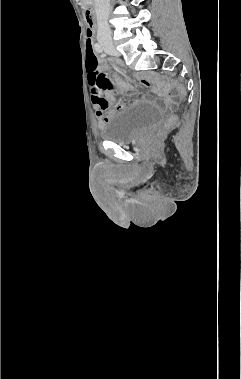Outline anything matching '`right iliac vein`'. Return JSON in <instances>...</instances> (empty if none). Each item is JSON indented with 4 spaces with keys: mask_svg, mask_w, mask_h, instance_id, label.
Segmentation results:
<instances>
[{
    "mask_svg": "<svg viewBox=\"0 0 241 379\" xmlns=\"http://www.w3.org/2000/svg\"><path fill=\"white\" fill-rule=\"evenodd\" d=\"M103 46H104V48H105L108 52H110V53H112V54H117V52H116V50H115V48H114V45H113L112 43H104Z\"/></svg>",
    "mask_w": 241,
    "mask_h": 379,
    "instance_id": "63e3f726",
    "label": "right iliac vein"
}]
</instances>
